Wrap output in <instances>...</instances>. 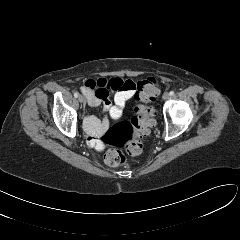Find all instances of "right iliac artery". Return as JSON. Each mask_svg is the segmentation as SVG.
<instances>
[{
    "label": "right iliac artery",
    "mask_w": 240,
    "mask_h": 240,
    "mask_svg": "<svg viewBox=\"0 0 240 240\" xmlns=\"http://www.w3.org/2000/svg\"><path fill=\"white\" fill-rule=\"evenodd\" d=\"M79 94L77 92L74 93V97L77 98Z\"/></svg>",
    "instance_id": "82829eb1"
}]
</instances>
